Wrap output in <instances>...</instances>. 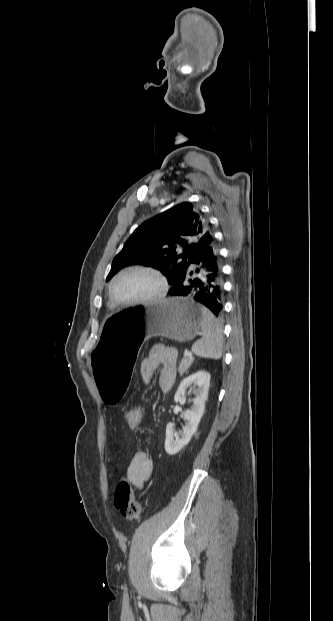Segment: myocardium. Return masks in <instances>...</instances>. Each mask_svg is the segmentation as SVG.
Instances as JSON below:
<instances>
[{"label": "myocardium", "mask_w": 333, "mask_h": 621, "mask_svg": "<svg viewBox=\"0 0 333 621\" xmlns=\"http://www.w3.org/2000/svg\"><path fill=\"white\" fill-rule=\"evenodd\" d=\"M131 272H145V273H149L153 276L156 277V279L159 282L160 288L158 290L157 293H155L152 296L146 297V298H142V299H138V300H133V301H120L113 293V286L115 284V282L122 277L125 274L131 273ZM168 281L166 279V277L163 275V273L158 270L155 267L152 266H148V265H134V266H130L127 267L123 270H121L118 274H116L113 279L110 281L109 285H108V295L110 298V301L116 305V306H122V307H130V306H137V305H143V304H150V303H154V302H158L160 300H162L167 292H168Z\"/></svg>", "instance_id": "obj_1"}]
</instances>
